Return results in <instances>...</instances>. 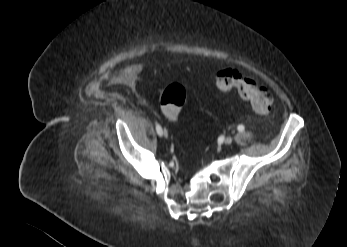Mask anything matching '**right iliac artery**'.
<instances>
[{
	"label": "right iliac artery",
	"mask_w": 347,
	"mask_h": 247,
	"mask_svg": "<svg viewBox=\"0 0 347 247\" xmlns=\"http://www.w3.org/2000/svg\"><path fill=\"white\" fill-rule=\"evenodd\" d=\"M156 131H157V134L160 136L163 134L162 128L158 123H156Z\"/></svg>",
	"instance_id": "82829eb1"
}]
</instances>
